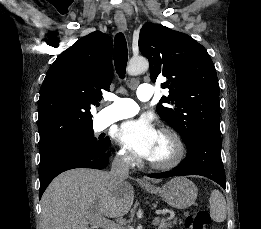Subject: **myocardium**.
Returning a JSON list of instances; mask_svg holds the SVG:
<instances>
[{
    "instance_id": "f54148a6",
    "label": "myocardium",
    "mask_w": 261,
    "mask_h": 229,
    "mask_svg": "<svg viewBox=\"0 0 261 229\" xmlns=\"http://www.w3.org/2000/svg\"><path fill=\"white\" fill-rule=\"evenodd\" d=\"M159 134L168 140L171 153L163 161L149 160V166L156 170H169L182 162L185 155V148L180 136L172 128H162L160 129Z\"/></svg>"
}]
</instances>
